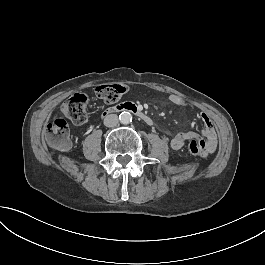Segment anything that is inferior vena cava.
Wrapping results in <instances>:
<instances>
[{
  "label": "inferior vena cava",
  "mask_w": 265,
  "mask_h": 265,
  "mask_svg": "<svg viewBox=\"0 0 265 265\" xmlns=\"http://www.w3.org/2000/svg\"><path fill=\"white\" fill-rule=\"evenodd\" d=\"M118 123H119V119L116 114H109L104 118V125L106 127H114Z\"/></svg>",
  "instance_id": "1"
}]
</instances>
